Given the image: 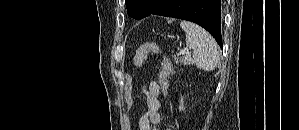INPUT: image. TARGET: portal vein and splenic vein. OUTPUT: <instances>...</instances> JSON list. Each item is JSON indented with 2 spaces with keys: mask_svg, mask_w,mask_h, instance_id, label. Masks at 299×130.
I'll return each mask as SVG.
<instances>
[{
  "mask_svg": "<svg viewBox=\"0 0 299 130\" xmlns=\"http://www.w3.org/2000/svg\"><path fill=\"white\" fill-rule=\"evenodd\" d=\"M188 52H189V49H188V48H185V49H183V50H180L179 53H178V55H180V54H185V53H188Z\"/></svg>",
  "mask_w": 299,
  "mask_h": 130,
  "instance_id": "18ae733b",
  "label": "portal vein and splenic vein"
}]
</instances>
